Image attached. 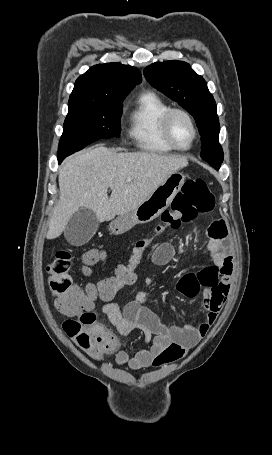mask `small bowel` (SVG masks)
Here are the masks:
<instances>
[{
    "label": "small bowel",
    "mask_w": 272,
    "mask_h": 455,
    "mask_svg": "<svg viewBox=\"0 0 272 455\" xmlns=\"http://www.w3.org/2000/svg\"><path fill=\"white\" fill-rule=\"evenodd\" d=\"M208 235L211 264L199 272L185 274L177 285L178 291L185 297L196 298L202 295L205 321L199 325L184 326L163 323L150 306L145 291L138 292L124 307L116 302L104 304L103 312L121 336H128L135 329L154 335L151 346L147 349H140L135 354L117 352L118 365L138 370L178 361L198 344L216 322L229 292L233 257L228 244L227 227L223 221H214L209 227ZM173 254V245L164 242L155 249L152 259L154 263L164 265ZM150 282L151 279L146 278L145 284L149 285Z\"/></svg>",
    "instance_id": "obj_1"
}]
</instances>
